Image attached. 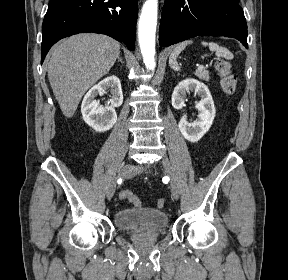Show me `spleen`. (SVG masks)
<instances>
[{
  "instance_id": "spleen-1",
  "label": "spleen",
  "mask_w": 288,
  "mask_h": 280,
  "mask_svg": "<svg viewBox=\"0 0 288 280\" xmlns=\"http://www.w3.org/2000/svg\"><path fill=\"white\" fill-rule=\"evenodd\" d=\"M193 41H184L179 43L169 57V65L171 69L175 71H179L180 67L177 63L178 55L186 48L187 45L191 44ZM203 46H209L210 51H214L217 57H224L227 60L233 59V54L225 47L219 46L217 43L214 42H202Z\"/></svg>"
}]
</instances>
